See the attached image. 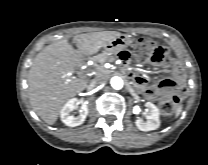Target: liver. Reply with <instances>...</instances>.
Instances as JSON below:
<instances>
[{
    "label": "liver",
    "instance_id": "6515ba94",
    "mask_svg": "<svg viewBox=\"0 0 208 165\" xmlns=\"http://www.w3.org/2000/svg\"><path fill=\"white\" fill-rule=\"evenodd\" d=\"M119 36L117 31L79 34L73 37L77 49L63 39L37 54L28 75V97L42 120L54 124L63 105L86 88V79L73 76L83 57Z\"/></svg>",
    "mask_w": 208,
    "mask_h": 165
}]
</instances>
